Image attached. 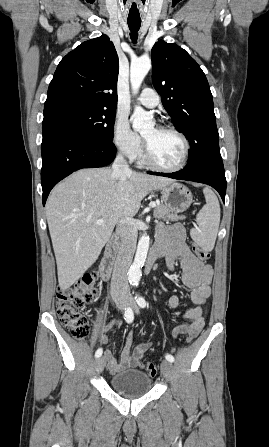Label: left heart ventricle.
Returning a JSON list of instances; mask_svg holds the SVG:
<instances>
[{
  "label": "left heart ventricle",
  "instance_id": "left-heart-ventricle-1",
  "mask_svg": "<svg viewBox=\"0 0 269 447\" xmlns=\"http://www.w3.org/2000/svg\"><path fill=\"white\" fill-rule=\"evenodd\" d=\"M142 135L156 162L169 167L180 163L184 152V143L180 136L171 131L162 130L155 125Z\"/></svg>",
  "mask_w": 269,
  "mask_h": 447
}]
</instances>
